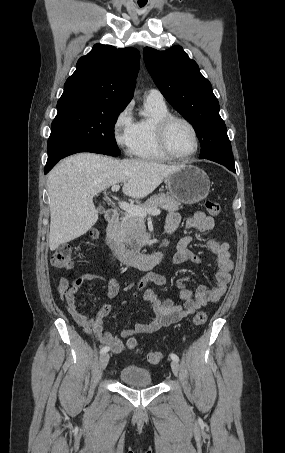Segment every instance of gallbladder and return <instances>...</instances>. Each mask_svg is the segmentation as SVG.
I'll use <instances>...</instances> for the list:
<instances>
[{
	"mask_svg": "<svg viewBox=\"0 0 285 453\" xmlns=\"http://www.w3.org/2000/svg\"><path fill=\"white\" fill-rule=\"evenodd\" d=\"M97 209H98V212H100V213L104 212V208L102 206H99Z\"/></svg>",
	"mask_w": 285,
	"mask_h": 453,
	"instance_id": "1",
	"label": "gallbladder"
}]
</instances>
